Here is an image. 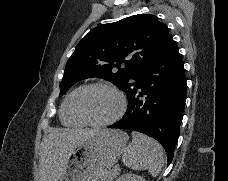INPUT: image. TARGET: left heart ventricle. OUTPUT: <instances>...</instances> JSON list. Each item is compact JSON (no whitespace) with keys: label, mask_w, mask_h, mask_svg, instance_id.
Masks as SVG:
<instances>
[{"label":"left heart ventricle","mask_w":228,"mask_h":181,"mask_svg":"<svg viewBox=\"0 0 228 181\" xmlns=\"http://www.w3.org/2000/svg\"><path fill=\"white\" fill-rule=\"evenodd\" d=\"M118 106V98L114 92L105 88H94L82 101L83 111L91 114L93 121L110 116Z\"/></svg>","instance_id":"obj_1"}]
</instances>
